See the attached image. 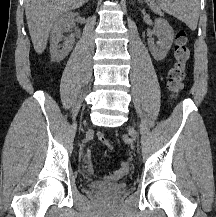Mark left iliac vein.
I'll return each mask as SVG.
<instances>
[{
	"label": "left iliac vein",
	"mask_w": 216,
	"mask_h": 217,
	"mask_svg": "<svg viewBox=\"0 0 216 217\" xmlns=\"http://www.w3.org/2000/svg\"><path fill=\"white\" fill-rule=\"evenodd\" d=\"M128 131H129V134L131 135V137L133 138V140H136L137 133H136V131L134 130V128H133V127H129V128H128Z\"/></svg>",
	"instance_id": "left-iliac-vein-1"
}]
</instances>
